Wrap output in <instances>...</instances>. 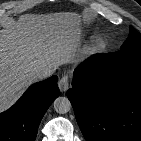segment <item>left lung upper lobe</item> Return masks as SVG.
<instances>
[{"instance_id":"obj_1","label":"left lung upper lobe","mask_w":141,"mask_h":141,"mask_svg":"<svg viewBox=\"0 0 141 141\" xmlns=\"http://www.w3.org/2000/svg\"><path fill=\"white\" fill-rule=\"evenodd\" d=\"M130 49H141V34L137 32L133 27H130L129 37L122 45L120 51Z\"/></svg>"}]
</instances>
